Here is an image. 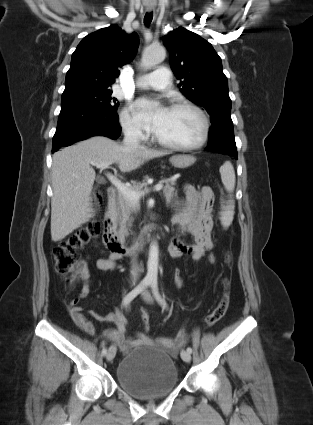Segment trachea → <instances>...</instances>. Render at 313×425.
Instances as JSON below:
<instances>
[{
    "instance_id": "3493384b",
    "label": "trachea",
    "mask_w": 313,
    "mask_h": 425,
    "mask_svg": "<svg viewBox=\"0 0 313 425\" xmlns=\"http://www.w3.org/2000/svg\"><path fill=\"white\" fill-rule=\"evenodd\" d=\"M152 19H153V13L152 12L146 13L145 17H144L145 25H149L151 23Z\"/></svg>"
}]
</instances>
